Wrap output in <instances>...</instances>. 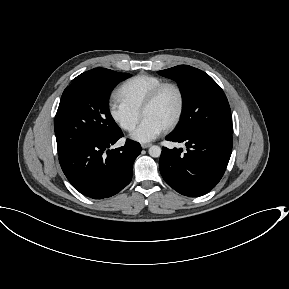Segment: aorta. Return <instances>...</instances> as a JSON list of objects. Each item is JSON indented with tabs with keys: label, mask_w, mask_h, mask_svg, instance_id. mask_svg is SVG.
Returning <instances> with one entry per match:
<instances>
[{
	"label": "aorta",
	"mask_w": 289,
	"mask_h": 289,
	"mask_svg": "<svg viewBox=\"0 0 289 289\" xmlns=\"http://www.w3.org/2000/svg\"><path fill=\"white\" fill-rule=\"evenodd\" d=\"M161 148L159 147V146H157V145H153V146H151L150 148H149V155L151 156V157H154V158H157V157H160V155H161Z\"/></svg>",
	"instance_id": "1"
}]
</instances>
